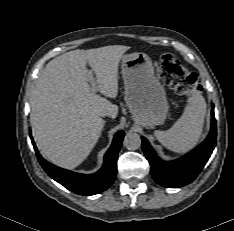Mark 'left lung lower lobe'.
Returning a JSON list of instances; mask_svg holds the SVG:
<instances>
[{
	"mask_svg": "<svg viewBox=\"0 0 234 231\" xmlns=\"http://www.w3.org/2000/svg\"><path fill=\"white\" fill-rule=\"evenodd\" d=\"M217 128L212 107V126L207 138L185 156L170 162L160 160L149 142L142 137V149L151 165L154 180L166 188L191 183L201 172L216 144Z\"/></svg>",
	"mask_w": 234,
	"mask_h": 231,
	"instance_id": "left-lung-lower-lobe-1",
	"label": "left lung lower lobe"
}]
</instances>
